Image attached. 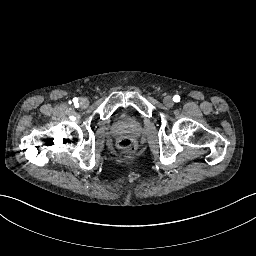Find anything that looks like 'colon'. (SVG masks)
Returning <instances> with one entry per match:
<instances>
[{"label":"colon","instance_id":"obj_1","mask_svg":"<svg viewBox=\"0 0 256 256\" xmlns=\"http://www.w3.org/2000/svg\"><path fill=\"white\" fill-rule=\"evenodd\" d=\"M116 147L120 150V153L123 156L133 157L138 147V144L137 142L131 140L128 137H122L120 138L119 142H117Z\"/></svg>","mask_w":256,"mask_h":256}]
</instances>
